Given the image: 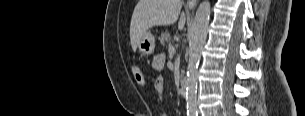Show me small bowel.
Listing matches in <instances>:
<instances>
[{"label": "small bowel", "mask_w": 305, "mask_h": 116, "mask_svg": "<svg viewBox=\"0 0 305 116\" xmlns=\"http://www.w3.org/2000/svg\"><path fill=\"white\" fill-rule=\"evenodd\" d=\"M164 65V56L163 55H157L154 57L152 61V66L155 70L160 71ZM154 87L159 95V100L163 101V94H164V81L163 78L160 75H157L154 80ZM161 116H166L165 112L161 113Z\"/></svg>", "instance_id": "obj_1"}]
</instances>
